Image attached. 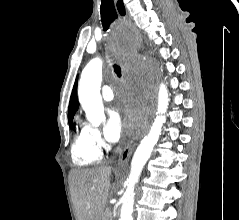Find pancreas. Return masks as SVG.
Segmentation results:
<instances>
[{
  "mask_svg": "<svg viewBox=\"0 0 239 220\" xmlns=\"http://www.w3.org/2000/svg\"><path fill=\"white\" fill-rule=\"evenodd\" d=\"M110 214H111L110 210L108 208H106V210L102 214V220H109Z\"/></svg>",
  "mask_w": 239,
  "mask_h": 220,
  "instance_id": "cf45deb5",
  "label": "pancreas"
}]
</instances>
